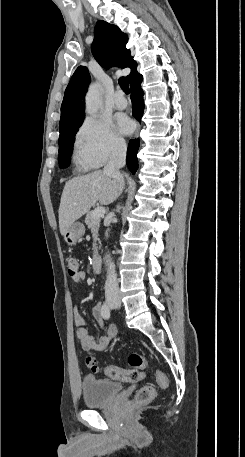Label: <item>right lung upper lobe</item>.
Segmentation results:
<instances>
[{
    "label": "right lung upper lobe",
    "instance_id": "obj_1",
    "mask_svg": "<svg viewBox=\"0 0 245 457\" xmlns=\"http://www.w3.org/2000/svg\"><path fill=\"white\" fill-rule=\"evenodd\" d=\"M128 36L117 26L99 20L94 29L92 53L104 68L119 67L131 69L127 76L129 83L141 75L137 72V63L126 48ZM90 83V75L85 66H79L72 75L65 90L61 105L59 128L77 121L84 120L85 93Z\"/></svg>",
    "mask_w": 245,
    "mask_h": 457
}]
</instances>
